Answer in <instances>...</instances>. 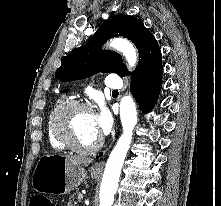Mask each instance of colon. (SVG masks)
I'll return each mask as SVG.
<instances>
[{"label": "colon", "mask_w": 221, "mask_h": 206, "mask_svg": "<svg viewBox=\"0 0 221 206\" xmlns=\"http://www.w3.org/2000/svg\"><path fill=\"white\" fill-rule=\"evenodd\" d=\"M30 206H54V204L44 196H34L30 200Z\"/></svg>", "instance_id": "5ec220e1"}]
</instances>
